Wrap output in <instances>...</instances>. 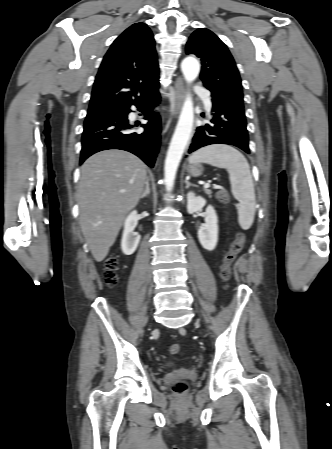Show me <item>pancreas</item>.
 Returning <instances> with one entry per match:
<instances>
[{
	"label": "pancreas",
	"instance_id": "pancreas-1",
	"mask_svg": "<svg viewBox=\"0 0 332 449\" xmlns=\"http://www.w3.org/2000/svg\"><path fill=\"white\" fill-rule=\"evenodd\" d=\"M205 193L209 196V198H211V194H212L211 190L205 189ZM226 197H227V194L222 191H220L216 194V198H218V199L226 198Z\"/></svg>",
	"mask_w": 332,
	"mask_h": 449
}]
</instances>
